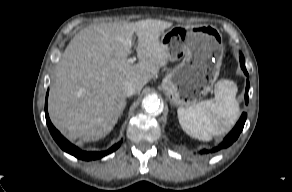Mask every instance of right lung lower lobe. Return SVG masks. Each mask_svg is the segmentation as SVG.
<instances>
[{"label": "right lung lower lobe", "mask_w": 292, "mask_h": 192, "mask_svg": "<svg viewBox=\"0 0 292 192\" xmlns=\"http://www.w3.org/2000/svg\"><path fill=\"white\" fill-rule=\"evenodd\" d=\"M47 98H48V92L46 94V102H45V117H46V122L49 128V131L54 138V140L57 142V144L67 153L77 157L78 159L90 161V160H95V159H100L104 157L105 155L115 151L121 144V142L115 144L112 146L109 150L105 152H86L82 151L76 146L72 145L69 141H67L58 130L55 129V127L52 125L49 116H48V111H47Z\"/></svg>", "instance_id": "98d812e1"}]
</instances>
